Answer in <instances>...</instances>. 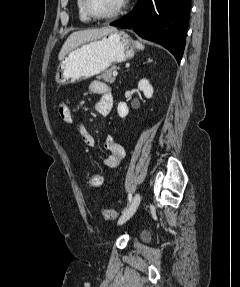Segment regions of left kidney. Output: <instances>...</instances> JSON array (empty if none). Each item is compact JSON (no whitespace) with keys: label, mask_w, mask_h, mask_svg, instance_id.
<instances>
[{"label":"left kidney","mask_w":240,"mask_h":287,"mask_svg":"<svg viewBox=\"0 0 240 287\" xmlns=\"http://www.w3.org/2000/svg\"><path fill=\"white\" fill-rule=\"evenodd\" d=\"M138 89L143 92V94L146 98H148V99L152 98L153 92H154L153 87L147 79H141L138 82ZM117 111H118V115L121 118H125L129 113L128 107H127L126 103H124V102H120L118 104Z\"/></svg>","instance_id":"obj_1"}]
</instances>
